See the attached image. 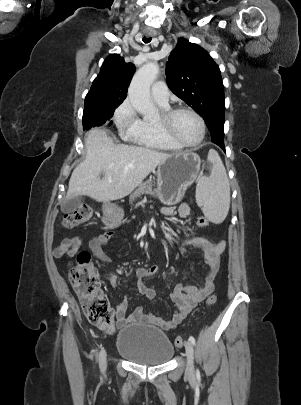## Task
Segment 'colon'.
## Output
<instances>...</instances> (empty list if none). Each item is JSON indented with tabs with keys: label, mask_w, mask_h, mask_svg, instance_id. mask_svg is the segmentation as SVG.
<instances>
[{
	"label": "colon",
	"mask_w": 301,
	"mask_h": 405,
	"mask_svg": "<svg viewBox=\"0 0 301 405\" xmlns=\"http://www.w3.org/2000/svg\"><path fill=\"white\" fill-rule=\"evenodd\" d=\"M93 209L88 204L78 206L72 212L63 216L62 225L67 229H72L86 222L92 215ZM195 225L204 228L208 221L204 217H197ZM69 280L79 295L84 314L88 321L105 331L113 330V312L110 308L106 295L100 288L97 271L91 263V256L86 251L76 252L70 264ZM217 302L216 295H210L206 300L207 306H212ZM185 339L178 336L174 340L177 347H181Z\"/></svg>",
	"instance_id": "1"
}]
</instances>
